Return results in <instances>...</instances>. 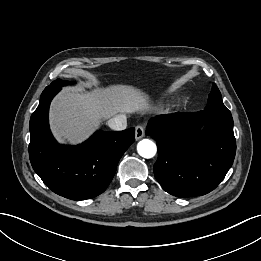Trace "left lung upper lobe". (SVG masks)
Returning a JSON list of instances; mask_svg holds the SVG:
<instances>
[{
  "label": "left lung upper lobe",
  "instance_id": "left-lung-upper-lobe-1",
  "mask_svg": "<svg viewBox=\"0 0 261 261\" xmlns=\"http://www.w3.org/2000/svg\"><path fill=\"white\" fill-rule=\"evenodd\" d=\"M204 111L218 113L222 115H231L230 111L223 104L221 93L216 84L212 85V89L209 94L208 104Z\"/></svg>",
  "mask_w": 261,
  "mask_h": 261
}]
</instances>
